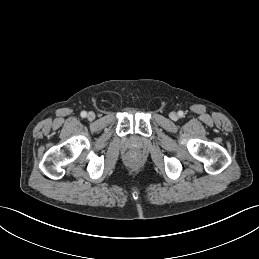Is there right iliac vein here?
<instances>
[{
	"mask_svg": "<svg viewBox=\"0 0 259 259\" xmlns=\"http://www.w3.org/2000/svg\"><path fill=\"white\" fill-rule=\"evenodd\" d=\"M89 120H93L95 118V113L94 112H89L87 115Z\"/></svg>",
	"mask_w": 259,
	"mask_h": 259,
	"instance_id": "obj_1",
	"label": "right iliac vein"
}]
</instances>
